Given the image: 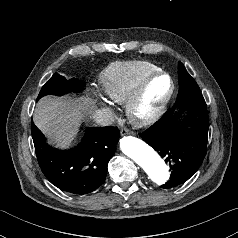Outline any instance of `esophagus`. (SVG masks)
<instances>
[{"instance_id": "obj_1", "label": "esophagus", "mask_w": 238, "mask_h": 238, "mask_svg": "<svg viewBox=\"0 0 238 238\" xmlns=\"http://www.w3.org/2000/svg\"><path fill=\"white\" fill-rule=\"evenodd\" d=\"M132 133L130 130L126 129V128H122L120 130V134L123 136V135H126V134H130Z\"/></svg>"}]
</instances>
